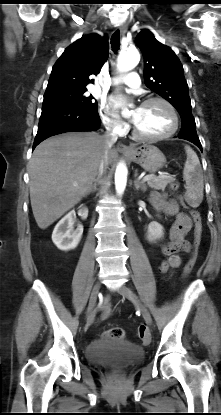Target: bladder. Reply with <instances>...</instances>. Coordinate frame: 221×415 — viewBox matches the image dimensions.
Listing matches in <instances>:
<instances>
[{
  "mask_svg": "<svg viewBox=\"0 0 221 415\" xmlns=\"http://www.w3.org/2000/svg\"><path fill=\"white\" fill-rule=\"evenodd\" d=\"M87 360L98 366H130L144 358L141 346L126 340L100 338L86 348Z\"/></svg>",
  "mask_w": 221,
  "mask_h": 415,
  "instance_id": "1",
  "label": "bladder"
}]
</instances>
